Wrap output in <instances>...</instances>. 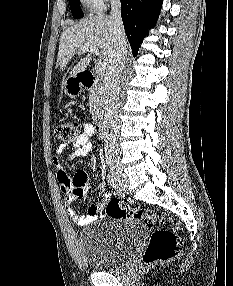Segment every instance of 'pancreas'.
<instances>
[{
  "label": "pancreas",
  "instance_id": "obj_1",
  "mask_svg": "<svg viewBox=\"0 0 233 286\" xmlns=\"http://www.w3.org/2000/svg\"><path fill=\"white\" fill-rule=\"evenodd\" d=\"M104 103V90L103 87L97 84L90 90L89 93V106L94 120H97L102 114Z\"/></svg>",
  "mask_w": 233,
  "mask_h": 286
}]
</instances>
